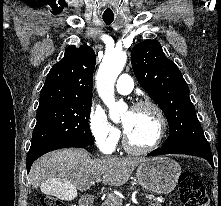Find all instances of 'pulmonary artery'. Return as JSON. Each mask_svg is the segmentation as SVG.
<instances>
[{"label":"pulmonary artery","instance_id":"e3ab8cb5","mask_svg":"<svg viewBox=\"0 0 221 206\" xmlns=\"http://www.w3.org/2000/svg\"><path fill=\"white\" fill-rule=\"evenodd\" d=\"M133 88V79L128 74H121L116 84V91L119 94H129Z\"/></svg>","mask_w":221,"mask_h":206}]
</instances>
